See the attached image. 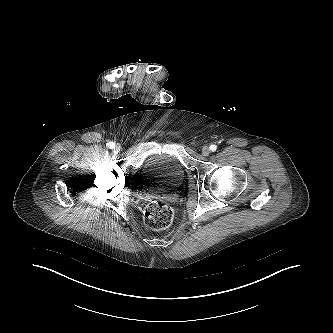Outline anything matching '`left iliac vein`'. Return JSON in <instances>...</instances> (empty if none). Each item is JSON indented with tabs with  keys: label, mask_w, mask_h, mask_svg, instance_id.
Wrapping results in <instances>:
<instances>
[{
	"label": "left iliac vein",
	"mask_w": 333,
	"mask_h": 333,
	"mask_svg": "<svg viewBox=\"0 0 333 333\" xmlns=\"http://www.w3.org/2000/svg\"><path fill=\"white\" fill-rule=\"evenodd\" d=\"M210 154V148L208 147V146H204L203 148H202V155L203 156H208Z\"/></svg>",
	"instance_id": "left-iliac-vein-1"
}]
</instances>
